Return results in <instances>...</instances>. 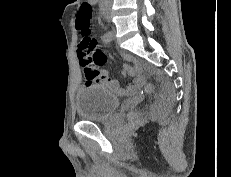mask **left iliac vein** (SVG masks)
<instances>
[{"label":"left iliac vein","mask_w":231,"mask_h":177,"mask_svg":"<svg viewBox=\"0 0 231 177\" xmlns=\"http://www.w3.org/2000/svg\"><path fill=\"white\" fill-rule=\"evenodd\" d=\"M106 18H107V21L110 22V20H111V13H110V8L109 7L107 9Z\"/></svg>","instance_id":"left-iliac-vein-1"}]
</instances>
